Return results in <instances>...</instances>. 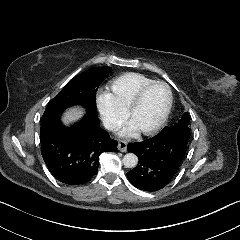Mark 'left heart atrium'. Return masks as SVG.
Instances as JSON below:
<instances>
[{
    "mask_svg": "<svg viewBox=\"0 0 240 240\" xmlns=\"http://www.w3.org/2000/svg\"><path fill=\"white\" fill-rule=\"evenodd\" d=\"M138 131L139 129L137 128V126L133 122H130L121 130L120 136L131 137L135 135Z\"/></svg>",
    "mask_w": 240,
    "mask_h": 240,
    "instance_id": "left-heart-atrium-1",
    "label": "left heart atrium"
}]
</instances>
